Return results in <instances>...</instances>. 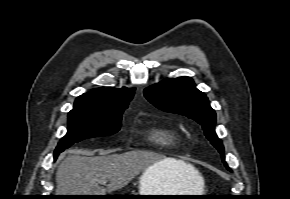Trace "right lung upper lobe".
Segmentation results:
<instances>
[{"mask_svg":"<svg viewBox=\"0 0 290 199\" xmlns=\"http://www.w3.org/2000/svg\"><path fill=\"white\" fill-rule=\"evenodd\" d=\"M134 95V88L95 89L75 100L73 110L94 113H114L124 111Z\"/></svg>","mask_w":290,"mask_h":199,"instance_id":"right-lung-upper-lobe-1","label":"right lung upper lobe"}]
</instances>
